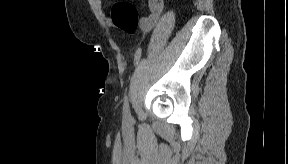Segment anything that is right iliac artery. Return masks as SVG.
<instances>
[{
	"instance_id": "obj_1",
	"label": "right iliac artery",
	"mask_w": 288,
	"mask_h": 164,
	"mask_svg": "<svg viewBox=\"0 0 288 164\" xmlns=\"http://www.w3.org/2000/svg\"><path fill=\"white\" fill-rule=\"evenodd\" d=\"M140 57H141V48H138L136 50L135 57H134V64L135 65L138 64ZM123 116H124L125 120L130 119V111H129V105H128L127 99L125 100L124 105H123Z\"/></svg>"
}]
</instances>
